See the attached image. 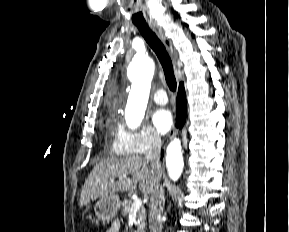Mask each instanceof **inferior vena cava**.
Instances as JSON below:
<instances>
[{
	"label": "inferior vena cava",
	"mask_w": 289,
	"mask_h": 232,
	"mask_svg": "<svg viewBox=\"0 0 289 232\" xmlns=\"http://www.w3.org/2000/svg\"><path fill=\"white\" fill-rule=\"evenodd\" d=\"M160 152H161V138L159 135L154 134L149 142V148L145 154V159L151 163L152 166L157 168L160 165ZM160 181V179H159ZM157 182L154 190L150 194V213H149V228L150 232H162L161 216L165 205L164 189Z\"/></svg>",
	"instance_id": "1"
}]
</instances>
